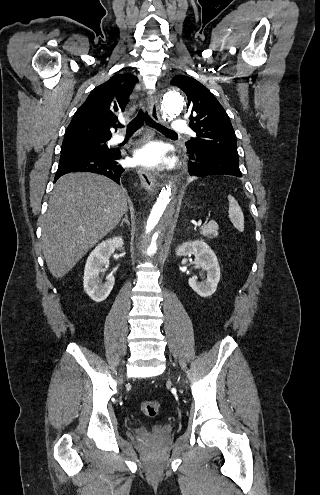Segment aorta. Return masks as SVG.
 <instances>
[{
    "label": "aorta",
    "instance_id": "1",
    "mask_svg": "<svg viewBox=\"0 0 320 495\" xmlns=\"http://www.w3.org/2000/svg\"><path fill=\"white\" fill-rule=\"evenodd\" d=\"M184 105L181 90L170 89L163 98L162 114L164 119L173 120L179 115ZM173 189L166 186L160 192L149 216L142 225L143 250L149 258L158 253L159 245L165 240L167 231L173 224L175 214Z\"/></svg>",
    "mask_w": 320,
    "mask_h": 495
}]
</instances>
